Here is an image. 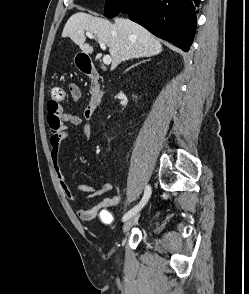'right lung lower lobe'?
<instances>
[{"label":"right lung lower lobe","mask_w":249,"mask_h":294,"mask_svg":"<svg viewBox=\"0 0 249 294\" xmlns=\"http://www.w3.org/2000/svg\"><path fill=\"white\" fill-rule=\"evenodd\" d=\"M199 1L129 0L120 12L127 13L157 37L188 51L195 35Z\"/></svg>","instance_id":"obj_1"}]
</instances>
